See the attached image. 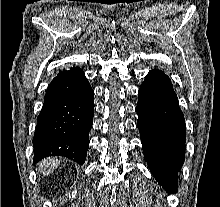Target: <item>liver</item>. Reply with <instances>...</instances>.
<instances>
[{
	"label": "liver",
	"instance_id": "6515ba94",
	"mask_svg": "<svg viewBox=\"0 0 220 207\" xmlns=\"http://www.w3.org/2000/svg\"><path fill=\"white\" fill-rule=\"evenodd\" d=\"M59 163L60 161L57 158L44 159L38 164V170L44 176H48L58 167Z\"/></svg>",
	"mask_w": 220,
	"mask_h": 207
}]
</instances>
